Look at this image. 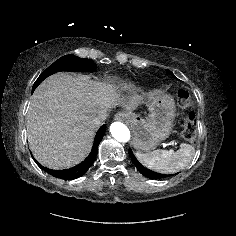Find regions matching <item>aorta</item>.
Returning a JSON list of instances; mask_svg holds the SVG:
<instances>
[{
	"mask_svg": "<svg viewBox=\"0 0 236 236\" xmlns=\"http://www.w3.org/2000/svg\"><path fill=\"white\" fill-rule=\"evenodd\" d=\"M110 133L119 142H127L130 139V131L121 122H114L110 125Z\"/></svg>",
	"mask_w": 236,
	"mask_h": 236,
	"instance_id": "1",
	"label": "aorta"
}]
</instances>
